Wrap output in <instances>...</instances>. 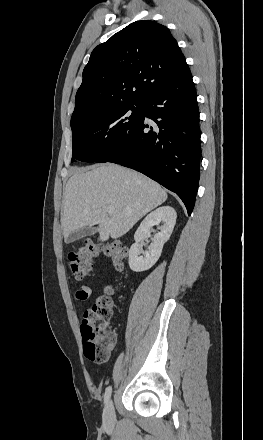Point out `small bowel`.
I'll use <instances>...</instances> for the list:
<instances>
[{
	"label": "small bowel",
	"mask_w": 263,
	"mask_h": 440,
	"mask_svg": "<svg viewBox=\"0 0 263 440\" xmlns=\"http://www.w3.org/2000/svg\"><path fill=\"white\" fill-rule=\"evenodd\" d=\"M92 293V288L88 285H81L75 291L74 297L78 302H84L89 299Z\"/></svg>",
	"instance_id": "c3829d8e"
}]
</instances>
